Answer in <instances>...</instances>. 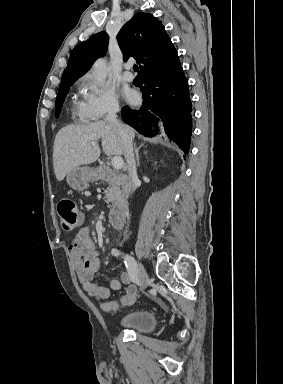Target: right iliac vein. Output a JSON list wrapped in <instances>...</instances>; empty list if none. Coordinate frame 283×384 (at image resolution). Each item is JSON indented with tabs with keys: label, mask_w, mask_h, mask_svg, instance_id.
I'll return each instance as SVG.
<instances>
[{
	"label": "right iliac vein",
	"mask_w": 283,
	"mask_h": 384,
	"mask_svg": "<svg viewBox=\"0 0 283 384\" xmlns=\"http://www.w3.org/2000/svg\"><path fill=\"white\" fill-rule=\"evenodd\" d=\"M137 269H138V276H139V282H140V285H141V289L142 290H145L148 286V283H149V276L144 268V266L137 262Z\"/></svg>",
	"instance_id": "1"
}]
</instances>
